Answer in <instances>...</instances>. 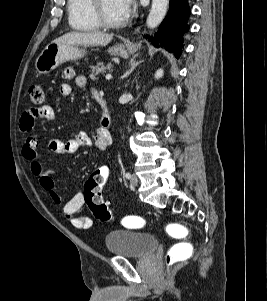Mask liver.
Masks as SVG:
<instances>
[{"mask_svg": "<svg viewBox=\"0 0 267 301\" xmlns=\"http://www.w3.org/2000/svg\"><path fill=\"white\" fill-rule=\"evenodd\" d=\"M113 39L112 34H106L101 32H69L63 36L55 39L54 43H66V44H76L83 46H105L111 42Z\"/></svg>", "mask_w": 267, "mask_h": 301, "instance_id": "6515ba94", "label": "liver"}]
</instances>
